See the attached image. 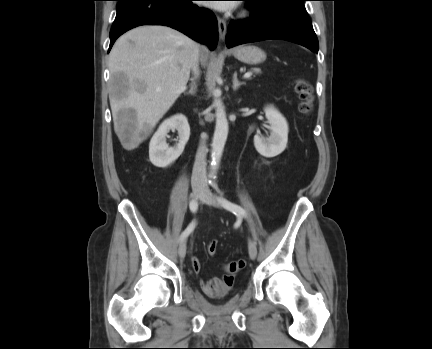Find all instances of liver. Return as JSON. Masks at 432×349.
Instances as JSON below:
<instances>
[{"label": "liver", "mask_w": 432, "mask_h": 349, "mask_svg": "<svg viewBox=\"0 0 432 349\" xmlns=\"http://www.w3.org/2000/svg\"><path fill=\"white\" fill-rule=\"evenodd\" d=\"M195 46L189 37L159 25L134 28L115 42L109 54V100L125 150L147 139L186 89ZM198 50L205 64L208 49L198 45ZM122 110H131L132 117H118Z\"/></svg>", "instance_id": "obj_1"}]
</instances>
